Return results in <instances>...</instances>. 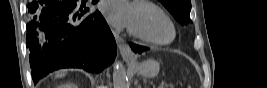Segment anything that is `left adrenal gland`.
<instances>
[{"instance_id": "a2214340", "label": "left adrenal gland", "mask_w": 267, "mask_h": 88, "mask_svg": "<svg viewBox=\"0 0 267 88\" xmlns=\"http://www.w3.org/2000/svg\"><path fill=\"white\" fill-rule=\"evenodd\" d=\"M136 85H137V83H136ZM138 88H141V86H138Z\"/></svg>"}]
</instances>
